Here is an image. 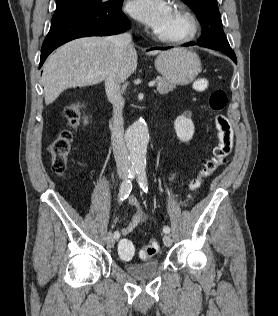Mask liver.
Wrapping results in <instances>:
<instances>
[{
    "label": "liver",
    "instance_id": "liver-1",
    "mask_svg": "<svg viewBox=\"0 0 278 316\" xmlns=\"http://www.w3.org/2000/svg\"><path fill=\"white\" fill-rule=\"evenodd\" d=\"M158 51H150L156 55ZM114 62L115 79L124 82L137 68V52L129 45L122 57L114 60L110 37H83L66 43L44 64L42 84L46 104H51L66 89L98 84L107 78Z\"/></svg>",
    "mask_w": 278,
    "mask_h": 316
}]
</instances>
